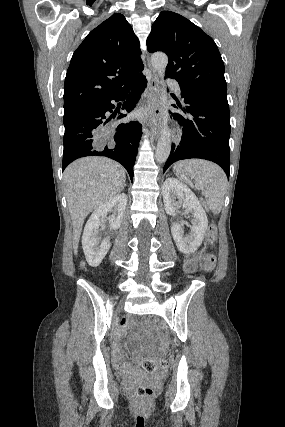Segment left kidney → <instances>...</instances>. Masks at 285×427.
I'll return each mask as SVG.
<instances>
[{
  "label": "left kidney",
  "mask_w": 285,
  "mask_h": 427,
  "mask_svg": "<svg viewBox=\"0 0 285 427\" xmlns=\"http://www.w3.org/2000/svg\"><path fill=\"white\" fill-rule=\"evenodd\" d=\"M162 194L167 214L175 216L181 205L192 213L190 234L184 236V230L179 223L172 225L171 233L179 251L185 254L194 253L201 245L208 227L205 210L190 188L174 178L165 180Z\"/></svg>",
  "instance_id": "obj_1"
}]
</instances>
